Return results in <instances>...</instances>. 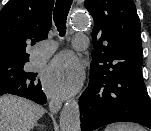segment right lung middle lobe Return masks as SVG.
<instances>
[{"label":"right lung middle lobe","instance_id":"right-lung-middle-lobe-1","mask_svg":"<svg viewBox=\"0 0 151 131\" xmlns=\"http://www.w3.org/2000/svg\"><path fill=\"white\" fill-rule=\"evenodd\" d=\"M24 64L25 62H21L19 60L13 62H1L0 81H3L4 85H12L22 81L25 78L34 76V74L27 73L23 70Z\"/></svg>","mask_w":151,"mask_h":131}]
</instances>
